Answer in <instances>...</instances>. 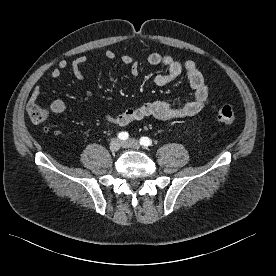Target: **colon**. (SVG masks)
I'll return each instance as SVG.
<instances>
[{
  "label": "colon",
  "instance_id": "colon-1",
  "mask_svg": "<svg viewBox=\"0 0 276 276\" xmlns=\"http://www.w3.org/2000/svg\"><path fill=\"white\" fill-rule=\"evenodd\" d=\"M27 114L34 124L43 123L48 117V110L39 103H30L27 107ZM217 119L226 125L235 122V110L230 105H221L217 110Z\"/></svg>",
  "mask_w": 276,
  "mask_h": 276
}]
</instances>
